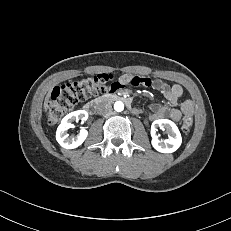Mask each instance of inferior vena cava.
Segmentation results:
<instances>
[{"label":"inferior vena cava","instance_id":"602c4592","mask_svg":"<svg viewBox=\"0 0 231 231\" xmlns=\"http://www.w3.org/2000/svg\"><path fill=\"white\" fill-rule=\"evenodd\" d=\"M111 105L109 103H100L98 106H97V112L98 114L100 115H106L108 114L109 112H111Z\"/></svg>","mask_w":231,"mask_h":231}]
</instances>
